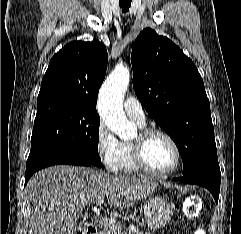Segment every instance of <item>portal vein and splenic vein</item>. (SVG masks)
I'll use <instances>...</instances> for the list:
<instances>
[{
  "label": "portal vein and splenic vein",
  "instance_id": "18ae733b",
  "mask_svg": "<svg viewBox=\"0 0 241 234\" xmlns=\"http://www.w3.org/2000/svg\"><path fill=\"white\" fill-rule=\"evenodd\" d=\"M102 203H103V200H99V201H97L96 206H101ZM93 209H96V208L94 207ZM99 223H100L104 228H109V227H111V228H113V229H115V230H117V231H120V230H121V229H120V226L115 225L114 222H112V221H110V220H108V219H106V218H104V217H102V218L99 220Z\"/></svg>",
  "mask_w": 241,
  "mask_h": 234
}]
</instances>
